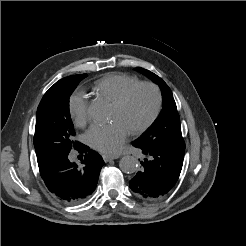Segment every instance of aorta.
<instances>
[{
    "mask_svg": "<svg viewBox=\"0 0 246 246\" xmlns=\"http://www.w3.org/2000/svg\"><path fill=\"white\" fill-rule=\"evenodd\" d=\"M88 114L93 119L101 121L106 117V106L102 103L94 102L88 107ZM119 167L124 173L132 174L138 168V159L134 156H124L119 162Z\"/></svg>",
    "mask_w": 246,
    "mask_h": 246,
    "instance_id": "aorta-1",
    "label": "aorta"
}]
</instances>
